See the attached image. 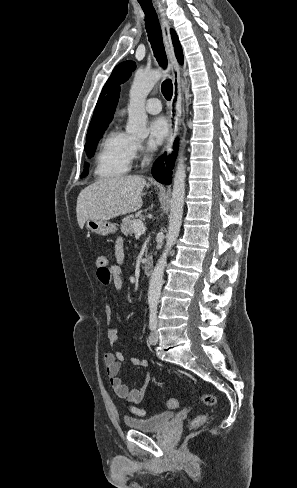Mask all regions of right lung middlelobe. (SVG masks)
Wrapping results in <instances>:
<instances>
[{
	"label": "right lung middle lobe",
	"instance_id": "dd1d6c3e",
	"mask_svg": "<svg viewBox=\"0 0 297 488\" xmlns=\"http://www.w3.org/2000/svg\"><path fill=\"white\" fill-rule=\"evenodd\" d=\"M107 126H108V124H104L102 126H99L93 132H91L90 134H88L86 136L85 151H86L88 157H91L94 154L97 142L102 137L104 130L106 129ZM88 168H89V164L85 163L84 164V172L82 173L81 177H84L88 174Z\"/></svg>",
	"mask_w": 297,
	"mask_h": 488
}]
</instances>
